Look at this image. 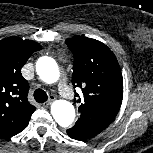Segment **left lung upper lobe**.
Wrapping results in <instances>:
<instances>
[{"label": "left lung upper lobe", "mask_w": 153, "mask_h": 153, "mask_svg": "<svg viewBox=\"0 0 153 153\" xmlns=\"http://www.w3.org/2000/svg\"><path fill=\"white\" fill-rule=\"evenodd\" d=\"M66 44L74 55L72 84L83 93L81 98L75 95L79 97L80 117L67 134L86 140L102 132L116 117L123 98L122 73L115 55L102 42L75 36Z\"/></svg>", "instance_id": "1"}]
</instances>
